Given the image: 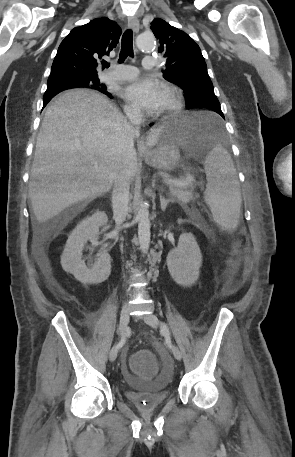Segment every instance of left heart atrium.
<instances>
[{
	"label": "left heart atrium",
	"mask_w": 295,
	"mask_h": 457,
	"mask_svg": "<svg viewBox=\"0 0 295 457\" xmlns=\"http://www.w3.org/2000/svg\"><path fill=\"white\" fill-rule=\"evenodd\" d=\"M164 91V87L154 79H137L125 87L124 97L132 105L154 112L161 105Z\"/></svg>",
	"instance_id": "obj_1"
}]
</instances>
